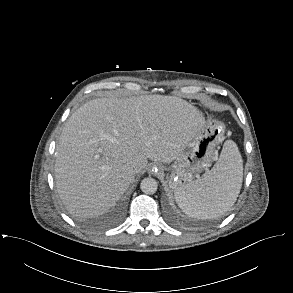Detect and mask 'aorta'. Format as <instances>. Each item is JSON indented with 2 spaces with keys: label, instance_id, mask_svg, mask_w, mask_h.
I'll list each match as a JSON object with an SVG mask.
<instances>
[{
  "label": "aorta",
  "instance_id": "762f6f07",
  "mask_svg": "<svg viewBox=\"0 0 293 293\" xmlns=\"http://www.w3.org/2000/svg\"><path fill=\"white\" fill-rule=\"evenodd\" d=\"M140 188L145 194H154L158 189L157 181L153 178H144L141 182Z\"/></svg>",
  "mask_w": 293,
  "mask_h": 293
}]
</instances>
